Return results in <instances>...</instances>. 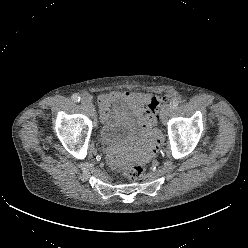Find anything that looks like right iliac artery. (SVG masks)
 <instances>
[{
    "mask_svg": "<svg viewBox=\"0 0 248 248\" xmlns=\"http://www.w3.org/2000/svg\"><path fill=\"white\" fill-rule=\"evenodd\" d=\"M71 98L74 102H79L81 100L80 96L77 94H73Z\"/></svg>",
    "mask_w": 248,
    "mask_h": 248,
    "instance_id": "right-iliac-artery-1",
    "label": "right iliac artery"
}]
</instances>
